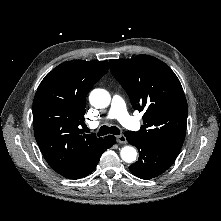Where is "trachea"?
<instances>
[{"instance_id":"1","label":"trachea","mask_w":221,"mask_h":221,"mask_svg":"<svg viewBox=\"0 0 221 221\" xmlns=\"http://www.w3.org/2000/svg\"><path fill=\"white\" fill-rule=\"evenodd\" d=\"M108 133L113 134V135H119L120 130L116 126L109 127L107 125H104L99 129L98 136H103V135H106Z\"/></svg>"}]
</instances>
